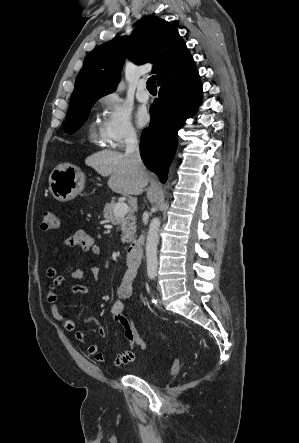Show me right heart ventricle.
Returning a JSON list of instances; mask_svg holds the SVG:
<instances>
[{"label": "right heart ventricle", "instance_id": "obj_1", "mask_svg": "<svg viewBox=\"0 0 299 443\" xmlns=\"http://www.w3.org/2000/svg\"><path fill=\"white\" fill-rule=\"evenodd\" d=\"M90 138L96 144H104L100 133H97L94 129L91 131Z\"/></svg>", "mask_w": 299, "mask_h": 443}]
</instances>
